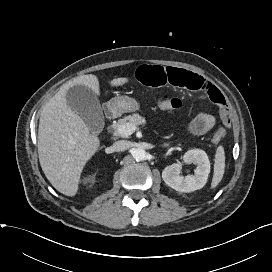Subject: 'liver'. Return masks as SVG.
<instances>
[{
  "label": "liver",
  "mask_w": 272,
  "mask_h": 272,
  "mask_svg": "<svg viewBox=\"0 0 272 272\" xmlns=\"http://www.w3.org/2000/svg\"><path fill=\"white\" fill-rule=\"evenodd\" d=\"M128 81L124 77L115 78L110 85L121 86ZM78 84L100 94L95 75H83L68 82L43 107L38 129L41 168L57 191L71 197L78 191L84 166L100 146L99 138L90 133L83 119L67 104V91Z\"/></svg>",
  "instance_id": "6515ba94"
}]
</instances>
